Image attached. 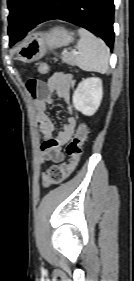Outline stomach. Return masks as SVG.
<instances>
[{"instance_id":"0dacf381","label":"stomach","mask_w":134,"mask_h":281,"mask_svg":"<svg viewBox=\"0 0 134 281\" xmlns=\"http://www.w3.org/2000/svg\"><path fill=\"white\" fill-rule=\"evenodd\" d=\"M73 34L68 30L56 27L47 33H35L26 39L18 51V59L24 63L39 60L48 50L67 46L73 42Z\"/></svg>"}]
</instances>
